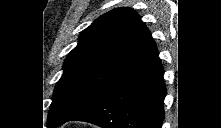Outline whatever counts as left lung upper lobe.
<instances>
[{
	"mask_svg": "<svg viewBox=\"0 0 221 128\" xmlns=\"http://www.w3.org/2000/svg\"><path fill=\"white\" fill-rule=\"evenodd\" d=\"M68 54L47 116L57 127L99 99L156 46L148 28L130 8L113 9L79 36Z\"/></svg>",
	"mask_w": 221,
	"mask_h": 128,
	"instance_id": "obj_1",
	"label": "left lung upper lobe"
}]
</instances>
